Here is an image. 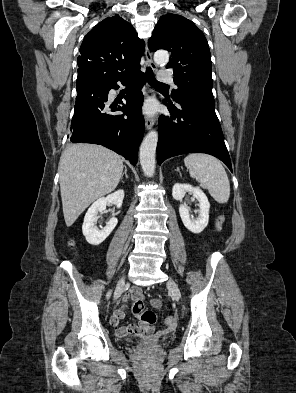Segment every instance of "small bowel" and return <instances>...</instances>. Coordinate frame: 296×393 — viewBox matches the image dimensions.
I'll list each match as a JSON object with an SVG mask.
<instances>
[{"label":"small bowel","mask_w":296,"mask_h":393,"mask_svg":"<svg viewBox=\"0 0 296 393\" xmlns=\"http://www.w3.org/2000/svg\"><path fill=\"white\" fill-rule=\"evenodd\" d=\"M127 299H142L143 294L140 288L131 287L128 292L122 297V302ZM151 305L154 308H158L160 306V301L158 299L150 300ZM125 317V308L121 303L114 311L113 316L110 320V324L114 329L115 333L119 337H126L128 335H135L138 337H143L151 334L154 330L153 327H150L148 324L140 321L137 325H128V326H120L119 322Z\"/></svg>","instance_id":"1"}]
</instances>
